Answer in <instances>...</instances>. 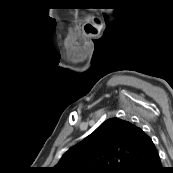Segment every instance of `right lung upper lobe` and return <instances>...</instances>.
Instances as JSON below:
<instances>
[{"label":"right lung upper lobe","instance_id":"cb5924a9","mask_svg":"<svg viewBox=\"0 0 173 173\" xmlns=\"http://www.w3.org/2000/svg\"><path fill=\"white\" fill-rule=\"evenodd\" d=\"M155 148L139 127L111 118L71 147L51 173H122L132 161Z\"/></svg>","mask_w":173,"mask_h":173}]
</instances>
